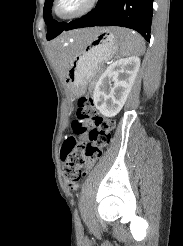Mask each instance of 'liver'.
<instances>
[{
    "label": "liver",
    "instance_id": "1",
    "mask_svg": "<svg viewBox=\"0 0 183 246\" xmlns=\"http://www.w3.org/2000/svg\"><path fill=\"white\" fill-rule=\"evenodd\" d=\"M98 28L81 29L70 32L63 37L54 41L51 45L52 56L59 69L60 77L64 78L67 75L70 67L71 57L64 49V42L68 38H78L82 41H88L96 34Z\"/></svg>",
    "mask_w": 183,
    "mask_h": 246
}]
</instances>
